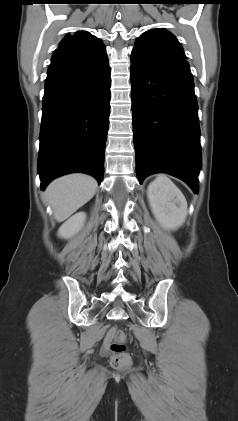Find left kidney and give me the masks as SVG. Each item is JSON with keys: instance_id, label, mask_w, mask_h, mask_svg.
Returning a JSON list of instances; mask_svg holds the SVG:
<instances>
[{"instance_id": "left-kidney-1", "label": "left kidney", "mask_w": 238, "mask_h": 421, "mask_svg": "<svg viewBox=\"0 0 238 421\" xmlns=\"http://www.w3.org/2000/svg\"><path fill=\"white\" fill-rule=\"evenodd\" d=\"M147 196L153 215L167 230H176L187 217V201L182 192L165 176L148 186Z\"/></svg>"}]
</instances>
